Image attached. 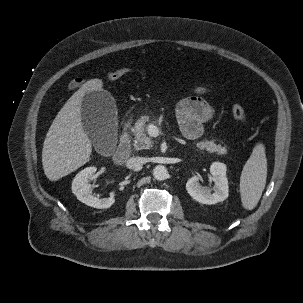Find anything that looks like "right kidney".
Listing matches in <instances>:
<instances>
[{"instance_id": "1", "label": "right kidney", "mask_w": 303, "mask_h": 303, "mask_svg": "<svg viewBox=\"0 0 303 303\" xmlns=\"http://www.w3.org/2000/svg\"><path fill=\"white\" fill-rule=\"evenodd\" d=\"M95 172L96 167H87L79 172L72 182V192L79 201L90 207L98 209L109 208L115 202L113 197L99 199L92 195V189L88 184V179Z\"/></svg>"}]
</instances>
